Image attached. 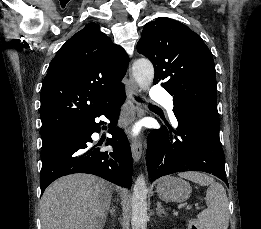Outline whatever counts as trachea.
Listing matches in <instances>:
<instances>
[{"label": "trachea", "instance_id": "3493384b", "mask_svg": "<svg viewBox=\"0 0 261 229\" xmlns=\"http://www.w3.org/2000/svg\"><path fill=\"white\" fill-rule=\"evenodd\" d=\"M135 99H136L138 102L142 101L139 97H135Z\"/></svg>", "mask_w": 261, "mask_h": 229}]
</instances>
